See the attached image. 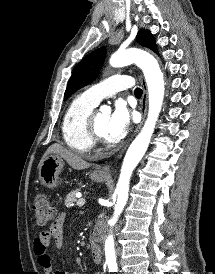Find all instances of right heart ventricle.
Returning <instances> with one entry per match:
<instances>
[{"instance_id": "obj_1", "label": "right heart ventricle", "mask_w": 215, "mask_h": 274, "mask_svg": "<svg viewBox=\"0 0 215 274\" xmlns=\"http://www.w3.org/2000/svg\"><path fill=\"white\" fill-rule=\"evenodd\" d=\"M97 104L84 94L76 96L63 116L61 130L65 143L78 152H89L94 143L87 132V119Z\"/></svg>"}]
</instances>
